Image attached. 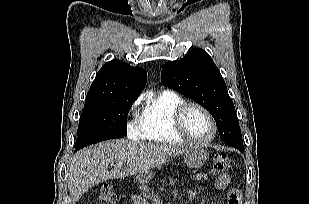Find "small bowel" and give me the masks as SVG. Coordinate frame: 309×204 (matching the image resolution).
I'll return each instance as SVG.
<instances>
[{"label":"small bowel","mask_w":309,"mask_h":204,"mask_svg":"<svg viewBox=\"0 0 309 204\" xmlns=\"http://www.w3.org/2000/svg\"><path fill=\"white\" fill-rule=\"evenodd\" d=\"M230 184V176L226 173L221 174L217 177L216 181H215V188L219 191H223L226 190L228 188ZM234 195H237L238 197H240V192L236 189H230L227 192V198L228 201L231 197H233ZM192 199H197V195L194 193L192 194ZM240 204V203H239Z\"/></svg>","instance_id":"small-bowel-1"}]
</instances>
